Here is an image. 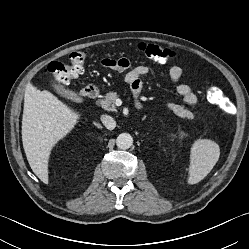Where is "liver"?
Masks as SVG:
<instances>
[{
    "label": "liver",
    "instance_id": "liver-1",
    "mask_svg": "<svg viewBox=\"0 0 249 249\" xmlns=\"http://www.w3.org/2000/svg\"><path fill=\"white\" fill-rule=\"evenodd\" d=\"M80 114L47 90L28 85L24 96L22 142L35 175L49 182L48 161L53 147L78 123Z\"/></svg>",
    "mask_w": 249,
    "mask_h": 249
}]
</instances>
